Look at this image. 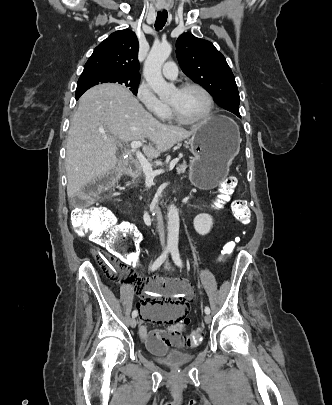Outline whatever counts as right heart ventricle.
Returning <instances> with one entry per match:
<instances>
[{
    "mask_svg": "<svg viewBox=\"0 0 332 405\" xmlns=\"http://www.w3.org/2000/svg\"><path fill=\"white\" fill-rule=\"evenodd\" d=\"M164 118H165V119H168V120L172 119V116H171V114H170L169 109H168V113L166 114V116H165Z\"/></svg>",
    "mask_w": 332,
    "mask_h": 405,
    "instance_id": "right-heart-ventricle-1",
    "label": "right heart ventricle"
}]
</instances>
